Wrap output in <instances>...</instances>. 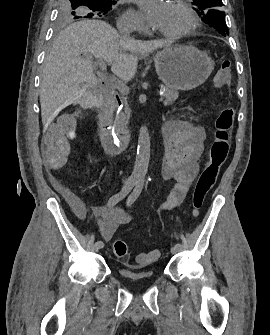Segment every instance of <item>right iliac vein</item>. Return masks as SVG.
Here are the masks:
<instances>
[{
	"label": "right iliac vein",
	"instance_id": "1",
	"mask_svg": "<svg viewBox=\"0 0 270 335\" xmlns=\"http://www.w3.org/2000/svg\"><path fill=\"white\" fill-rule=\"evenodd\" d=\"M99 247H98V245L95 243L94 245H93V250L95 251V252H97V251H99Z\"/></svg>",
	"mask_w": 270,
	"mask_h": 335
}]
</instances>
